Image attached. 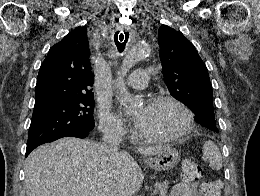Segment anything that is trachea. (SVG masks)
I'll return each mask as SVG.
<instances>
[{
    "label": "trachea",
    "instance_id": "3493384b",
    "mask_svg": "<svg viewBox=\"0 0 260 196\" xmlns=\"http://www.w3.org/2000/svg\"><path fill=\"white\" fill-rule=\"evenodd\" d=\"M128 38H129V33L127 32L125 33L118 32L115 34L114 36L115 45L120 53L124 51Z\"/></svg>",
    "mask_w": 260,
    "mask_h": 196
}]
</instances>
